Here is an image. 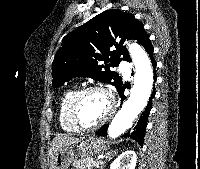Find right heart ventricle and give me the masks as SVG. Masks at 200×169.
<instances>
[{"mask_svg":"<svg viewBox=\"0 0 200 169\" xmlns=\"http://www.w3.org/2000/svg\"><path fill=\"white\" fill-rule=\"evenodd\" d=\"M78 92L76 88H69L62 92L59 99V123L61 128L69 133H76L79 130L73 124L70 118V104Z\"/></svg>","mask_w":200,"mask_h":169,"instance_id":"1","label":"right heart ventricle"}]
</instances>
